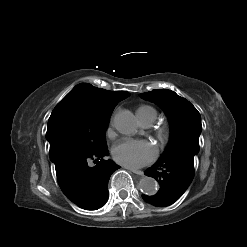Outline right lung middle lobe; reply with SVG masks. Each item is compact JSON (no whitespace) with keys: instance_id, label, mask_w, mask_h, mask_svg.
Instances as JSON below:
<instances>
[{"instance_id":"1","label":"right lung middle lobe","mask_w":247,"mask_h":247,"mask_svg":"<svg viewBox=\"0 0 247 247\" xmlns=\"http://www.w3.org/2000/svg\"><path fill=\"white\" fill-rule=\"evenodd\" d=\"M112 111L96 110L82 97L67 94L52 111L46 138L50 144L62 142L90 152L106 149L105 130Z\"/></svg>"}]
</instances>
